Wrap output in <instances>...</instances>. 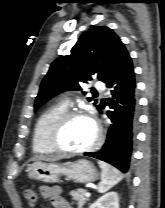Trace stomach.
Instances as JSON below:
<instances>
[{"label": "stomach", "instance_id": "1", "mask_svg": "<svg viewBox=\"0 0 165 208\" xmlns=\"http://www.w3.org/2000/svg\"><path fill=\"white\" fill-rule=\"evenodd\" d=\"M28 177L45 183H56L61 176H66L77 183H90L98 179L94 165L85 159L67 163L36 161L28 167Z\"/></svg>", "mask_w": 165, "mask_h": 208}]
</instances>
